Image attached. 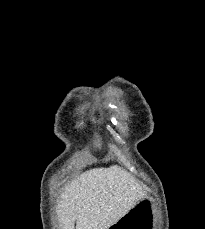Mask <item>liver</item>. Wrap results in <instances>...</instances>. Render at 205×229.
Returning <instances> with one entry per match:
<instances>
[{
  "instance_id": "6515ba94",
  "label": "liver",
  "mask_w": 205,
  "mask_h": 229,
  "mask_svg": "<svg viewBox=\"0 0 205 229\" xmlns=\"http://www.w3.org/2000/svg\"><path fill=\"white\" fill-rule=\"evenodd\" d=\"M134 178L117 166L95 168L68 184L58 203L63 229H108L134 206Z\"/></svg>"
}]
</instances>
